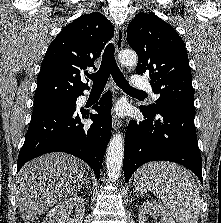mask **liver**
<instances>
[{
    "label": "liver",
    "instance_id": "obj_1",
    "mask_svg": "<svg viewBox=\"0 0 221 223\" xmlns=\"http://www.w3.org/2000/svg\"><path fill=\"white\" fill-rule=\"evenodd\" d=\"M87 178L84 164L54 152L26 163L16 177V197L24 223H34L50 207L77 194Z\"/></svg>",
    "mask_w": 221,
    "mask_h": 223
}]
</instances>
